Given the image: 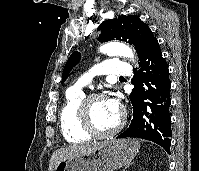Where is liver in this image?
Returning a JSON list of instances; mask_svg holds the SVG:
<instances>
[{
    "label": "liver",
    "instance_id": "6515ba94",
    "mask_svg": "<svg viewBox=\"0 0 199 171\" xmlns=\"http://www.w3.org/2000/svg\"><path fill=\"white\" fill-rule=\"evenodd\" d=\"M102 144L103 142L90 145H71L65 148H60L52 154L48 170L54 171L55 167L61 161L90 153L96 150Z\"/></svg>",
    "mask_w": 199,
    "mask_h": 171
}]
</instances>
